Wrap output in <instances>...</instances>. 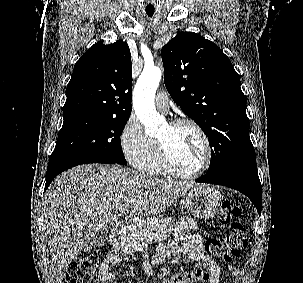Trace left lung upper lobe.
<instances>
[{
    "label": "left lung upper lobe",
    "mask_w": 303,
    "mask_h": 283,
    "mask_svg": "<svg viewBox=\"0 0 303 283\" xmlns=\"http://www.w3.org/2000/svg\"><path fill=\"white\" fill-rule=\"evenodd\" d=\"M164 82L173 100L203 130L212 174L255 158L240 77L213 42L181 32L162 48Z\"/></svg>",
    "instance_id": "obj_1"
}]
</instances>
